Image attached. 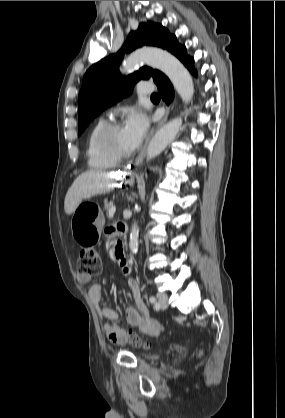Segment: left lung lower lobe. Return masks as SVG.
Wrapping results in <instances>:
<instances>
[{
  "mask_svg": "<svg viewBox=\"0 0 285 418\" xmlns=\"http://www.w3.org/2000/svg\"><path fill=\"white\" fill-rule=\"evenodd\" d=\"M169 51L175 55L193 75H196V70L194 69V59L187 55L185 46L180 45L177 41H175ZM155 83L157 84L158 91L162 99L169 104L174 98V89L171 82L163 73H161Z\"/></svg>",
  "mask_w": 285,
  "mask_h": 418,
  "instance_id": "0a47b994",
  "label": "left lung lower lobe"
}]
</instances>
